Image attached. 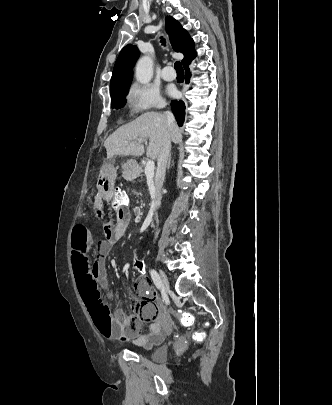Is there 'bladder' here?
I'll return each instance as SVG.
<instances>
[{
	"mask_svg": "<svg viewBox=\"0 0 332 405\" xmlns=\"http://www.w3.org/2000/svg\"><path fill=\"white\" fill-rule=\"evenodd\" d=\"M164 341H165V334L161 333L159 341L144 347V350L152 351L151 358L155 362H165L167 360L168 348L164 344Z\"/></svg>",
	"mask_w": 332,
	"mask_h": 405,
	"instance_id": "bladder-1",
	"label": "bladder"
}]
</instances>
